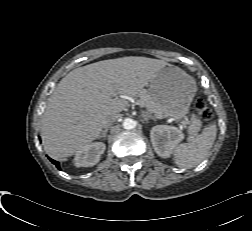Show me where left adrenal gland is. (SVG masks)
Returning a JSON list of instances; mask_svg holds the SVG:
<instances>
[{"label":"left adrenal gland","instance_id":"1","mask_svg":"<svg viewBox=\"0 0 252 231\" xmlns=\"http://www.w3.org/2000/svg\"><path fill=\"white\" fill-rule=\"evenodd\" d=\"M149 119H154V118H153L151 115L146 114V115L144 116V120H145L146 122H148Z\"/></svg>","mask_w":252,"mask_h":231}]
</instances>
